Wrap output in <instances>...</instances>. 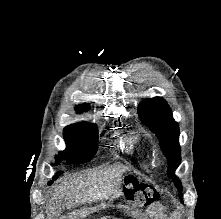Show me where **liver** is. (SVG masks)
<instances>
[{
	"label": "liver",
	"mask_w": 221,
	"mask_h": 219,
	"mask_svg": "<svg viewBox=\"0 0 221 219\" xmlns=\"http://www.w3.org/2000/svg\"><path fill=\"white\" fill-rule=\"evenodd\" d=\"M128 170L125 166H114L65 179L55 188L49 200L46 208L48 219H53L61 213L63 199L66 207L70 209L82 203L117 198L121 193V177Z\"/></svg>",
	"instance_id": "1"
}]
</instances>
